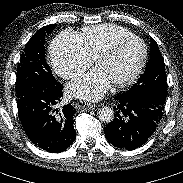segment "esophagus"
<instances>
[{
    "mask_svg": "<svg viewBox=\"0 0 183 183\" xmlns=\"http://www.w3.org/2000/svg\"><path fill=\"white\" fill-rule=\"evenodd\" d=\"M76 110L79 112H83L85 110H94L96 108V105L94 104H89L83 101H79L76 103Z\"/></svg>",
    "mask_w": 183,
    "mask_h": 183,
    "instance_id": "34e87169",
    "label": "esophagus"
}]
</instances>
